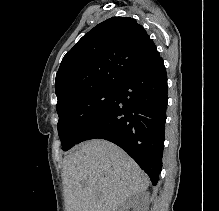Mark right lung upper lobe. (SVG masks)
<instances>
[{
    "label": "right lung upper lobe",
    "mask_w": 219,
    "mask_h": 211,
    "mask_svg": "<svg viewBox=\"0 0 219 211\" xmlns=\"http://www.w3.org/2000/svg\"><path fill=\"white\" fill-rule=\"evenodd\" d=\"M159 56L154 42L133 18L107 19L62 59L55 80L58 103L96 87L116 86Z\"/></svg>",
    "instance_id": "obj_1"
}]
</instances>
